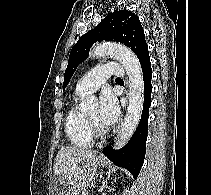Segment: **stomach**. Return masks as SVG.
I'll return each mask as SVG.
<instances>
[{"label":"stomach","instance_id":"1","mask_svg":"<svg viewBox=\"0 0 211 195\" xmlns=\"http://www.w3.org/2000/svg\"><path fill=\"white\" fill-rule=\"evenodd\" d=\"M97 164L98 165H101V166H106L107 165V162H106L105 159H103L101 157H98V158H96V165ZM53 184H54V186L59 185V186H62L63 188H66L67 187V182L63 178L57 177V176L55 177V182ZM56 195H61L60 194V191H57L56 192Z\"/></svg>","mask_w":211,"mask_h":195}]
</instances>
